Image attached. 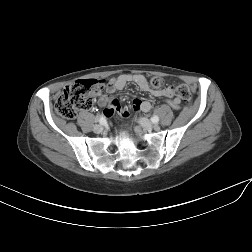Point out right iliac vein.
Masks as SVG:
<instances>
[{
	"label": "right iliac vein",
	"mask_w": 252,
	"mask_h": 252,
	"mask_svg": "<svg viewBox=\"0 0 252 252\" xmlns=\"http://www.w3.org/2000/svg\"><path fill=\"white\" fill-rule=\"evenodd\" d=\"M104 127L101 124H97L94 126L93 131L95 133H101L103 131Z\"/></svg>",
	"instance_id": "obj_1"
}]
</instances>
